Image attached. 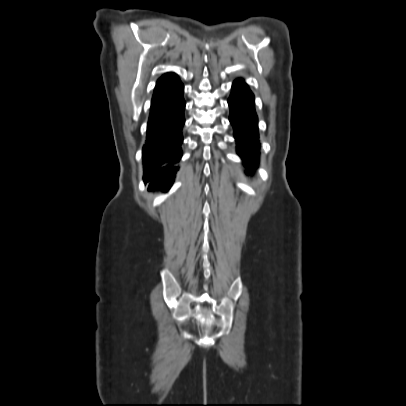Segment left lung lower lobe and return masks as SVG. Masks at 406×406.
I'll return each instance as SVG.
<instances>
[{
	"mask_svg": "<svg viewBox=\"0 0 406 406\" xmlns=\"http://www.w3.org/2000/svg\"><path fill=\"white\" fill-rule=\"evenodd\" d=\"M228 103L237 153L247 167L254 169L259 162L258 118L254 108V95L241 79L234 82ZM250 173L253 172L247 171V174Z\"/></svg>",
	"mask_w": 406,
	"mask_h": 406,
	"instance_id": "obj_1",
	"label": "left lung lower lobe"
}]
</instances>
